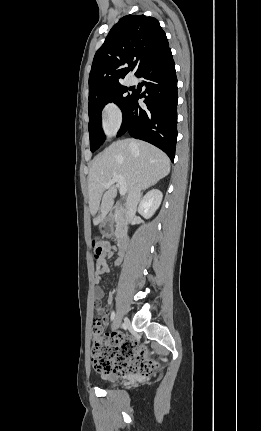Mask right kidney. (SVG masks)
Wrapping results in <instances>:
<instances>
[{"mask_svg": "<svg viewBox=\"0 0 261 431\" xmlns=\"http://www.w3.org/2000/svg\"><path fill=\"white\" fill-rule=\"evenodd\" d=\"M162 198L163 194L160 190L152 189L149 191L140 202L138 208L139 214L146 219L152 217L159 208Z\"/></svg>", "mask_w": 261, "mask_h": 431, "instance_id": "ca27d5eb", "label": "right kidney"}]
</instances>
